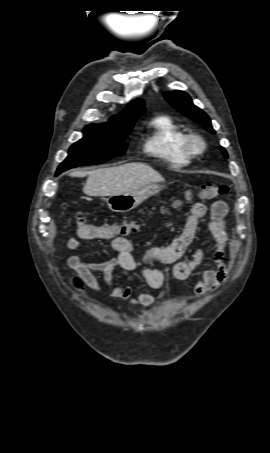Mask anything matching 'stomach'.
<instances>
[{"label": "stomach", "instance_id": "obj_1", "mask_svg": "<svg viewBox=\"0 0 270 453\" xmlns=\"http://www.w3.org/2000/svg\"><path fill=\"white\" fill-rule=\"evenodd\" d=\"M161 186L147 185L129 193L117 194L109 196L106 199L108 208L113 212L125 213L139 206L144 200L150 196L160 192Z\"/></svg>", "mask_w": 270, "mask_h": 453}]
</instances>
